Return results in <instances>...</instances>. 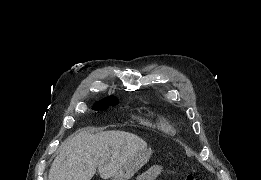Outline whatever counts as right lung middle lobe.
I'll use <instances>...</instances> for the list:
<instances>
[{
    "instance_id": "1",
    "label": "right lung middle lobe",
    "mask_w": 261,
    "mask_h": 180,
    "mask_svg": "<svg viewBox=\"0 0 261 180\" xmlns=\"http://www.w3.org/2000/svg\"><path fill=\"white\" fill-rule=\"evenodd\" d=\"M117 103H118L117 99H106V100H103V101L98 102L97 104H95L93 108L95 110H102V109L107 108L108 106H114Z\"/></svg>"
}]
</instances>
